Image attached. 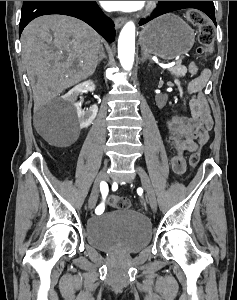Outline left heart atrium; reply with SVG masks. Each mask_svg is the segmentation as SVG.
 <instances>
[{
	"label": "left heart atrium",
	"instance_id": "obj_1",
	"mask_svg": "<svg viewBox=\"0 0 237 300\" xmlns=\"http://www.w3.org/2000/svg\"><path fill=\"white\" fill-rule=\"evenodd\" d=\"M144 1H100L107 11H135L143 5Z\"/></svg>",
	"mask_w": 237,
	"mask_h": 300
}]
</instances>
